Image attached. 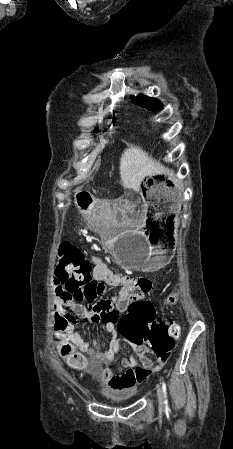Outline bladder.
<instances>
[{"mask_svg": "<svg viewBox=\"0 0 233 449\" xmlns=\"http://www.w3.org/2000/svg\"><path fill=\"white\" fill-rule=\"evenodd\" d=\"M102 395L113 403H123L130 399H132L137 391L135 389H111L107 387H103L101 389Z\"/></svg>", "mask_w": 233, "mask_h": 449, "instance_id": "obj_1", "label": "bladder"}]
</instances>
